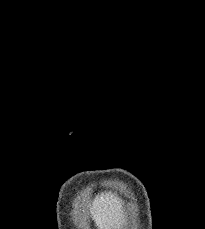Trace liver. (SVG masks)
Masks as SVG:
<instances>
[{
  "mask_svg": "<svg viewBox=\"0 0 205 229\" xmlns=\"http://www.w3.org/2000/svg\"><path fill=\"white\" fill-rule=\"evenodd\" d=\"M90 212L102 229H115L123 219L122 203L110 193L96 196Z\"/></svg>",
  "mask_w": 205,
  "mask_h": 229,
  "instance_id": "6515ba94",
  "label": "liver"
}]
</instances>
